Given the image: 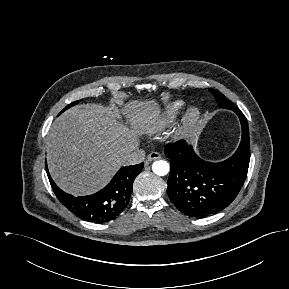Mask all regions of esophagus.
<instances>
[{
    "label": "esophagus",
    "instance_id": "34e87169",
    "mask_svg": "<svg viewBox=\"0 0 289 289\" xmlns=\"http://www.w3.org/2000/svg\"><path fill=\"white\" fill-rule=\"evenodd\" d=\"M161 158V155L160 153L158 152H151L148 157H147V160L148 161H155V160H158Z\"/></svg>",
    "mask_w": 289,
    "mask_h": 289
}]
</instances>
